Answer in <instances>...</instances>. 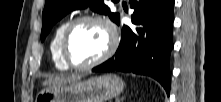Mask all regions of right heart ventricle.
Masks as SVG:
<instances>
[{"label": "right heart ventricle", "mask_w": 221, "mask_h": 102, "mask_svg": "<svg viewBox=\"0 0 221 102\" xmlns=\"http://www.w3.org/2000/svg\"><path fill=\"white\" fill-rule=\"evenodd\" d=\"M70 21H71L70 18H66L57 26L51 38L50 45H49L53 64L58 70H61V71H65L69 69V67L62 60L61 53H60V44H61V39H62L64 30Z\"/></svg>", "instance_id": "obj_1"}]
</instances>
